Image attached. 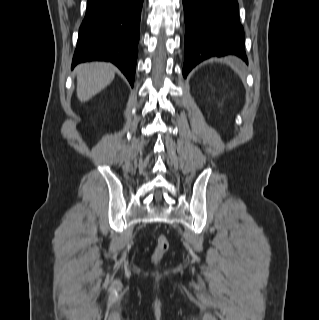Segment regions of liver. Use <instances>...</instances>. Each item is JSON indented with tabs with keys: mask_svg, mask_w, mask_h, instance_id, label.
Masks as SVG:
<instances>
[{
	"mask_svg": "<svg viewBox=\"0 0 319 320\" xmlns=\"http://www.w3.org/2000/svg\"><path fill=\"white\" fill-rule=\"evenodd\" d=\"M77 97L86 102L107 87L115 77V68L106 62H90L76 67Z\"/></svg>",
	"mask_w": 319,
	"mask_h": 320,
	"instance_id": "6515ba94",
	"label": "liver"
}]
</instances>
